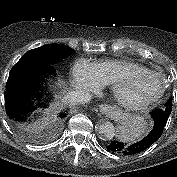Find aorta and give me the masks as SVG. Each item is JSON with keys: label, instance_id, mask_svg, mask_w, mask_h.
<instances>
[{"label": "aorta", "instance_id": "obj_1", "mask_svg": "<svg viewBox=\"0 0 177 177\" xmlns=\"http://www.w3.org/2000/svg\"><path fill=\"white\" fill-rule=\"evenodd\" d=\"M98 132L103 139H112L116 134L114 125L109 121H104L100 123L98 127Z\"/></svg>", "mask_w": 177, "mask_h": 177}]
</instances>
